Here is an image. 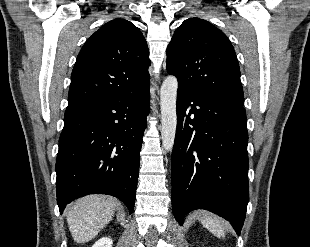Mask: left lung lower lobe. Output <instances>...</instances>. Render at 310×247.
<instances>
[{"mask_svg": "<svg viewBox=\"0 0 310 247\" xmlns=\"http://www.w3.org/2000/svg\"><path fill=\"white\" fill-rule=\"evenodd\" d=\"M247 143L243 106L178 88L171 165L172 210L180 225L188 212L205 209L240 234L249 201Z\"/></svg>", "mask_w": 310, "mask_h": 247, "instance_id": "obj_1", "label": "left lung lower lobe"}]
</instances>
